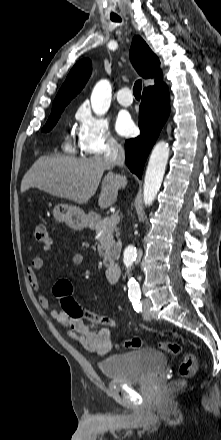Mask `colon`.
<instances>
[{"label": "colon", "mask_w": 221, "mask_h": 440, "mask_svg": "<svg viewBox=\"0 0 221 440\" xmlns=\"http://www.w3.org/2000/svg\"><path fill=\"white\" fill-rule=\"evenodd\" d=\"M34 236L38 243L50 246L51 237L46 226L42 223H37L34 227ZM72 284L68 280H60L53 287V293L58 298L59 307L63 315H66L67 321H78L79 318H84L85 321H94L95 324H102L104 329H117L120 326L117 318L112 315H102L101 312H89L84 309L83 303H80L76 297H72ZM123 346L127 349H137L143 346V341L140 338L134 337L126 340ZM159 347L174 356H181L182 361L179 367L180 378L174 380L169 389H178L183 387L187 380L194 377L197 372V361L195 356L183 349V347L175 342H161Z\"/></svg>", "instance_id": "1"}]
</instances>
